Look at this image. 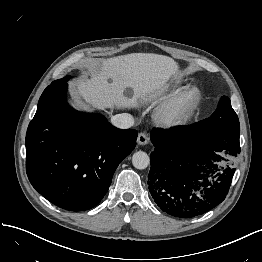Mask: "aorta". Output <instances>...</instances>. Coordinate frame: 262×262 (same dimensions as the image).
I'll list each match as a JSON object with an SVG mask.
<instances>
[{
	"label": "aorta",
	"mask_w": 262,
	"mask_h": 262,
	"mask_svg": "<svg viewBox=\"0 0 262 262\" xmlns=\"http://www.w3.org/2000/svg\"><path fill=\"white\" fill-rule=\"evenodd\" d=\"M150 163V158L146 152L138 151L132 156V164L137 169H145Z\"/></svg>",
	"instance_id": "aorta-1"
}]
</instances>
